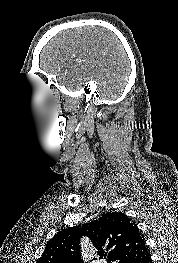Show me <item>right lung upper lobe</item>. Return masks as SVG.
Instances as JSON below:
<instances>
[{
	"label": "right lung upper lobe",
	"instance_id": "cb5924a9",
	"mask_svg": "<svg viewBox=\"0 0 178 263\" xmlns=\"http://www.w3.org/2000/svg\"><path fill=\"white\" fill-rule=\"evenodd\" d=\"M88 236L108 263H138L149 253L137 225L124 213L110 212L99 220L66 228L47 244L37 263H83L80 238ZM95 259V258H94Z\"/></svg>",
	"mask_w": 178,
	"mask_h": 263
}]
</instances>
